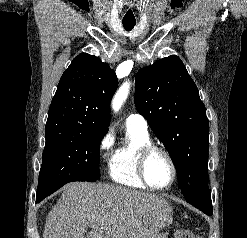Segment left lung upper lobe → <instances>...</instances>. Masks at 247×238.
<instances>
[{
	"instance_id": "5c2ea615",
	"label": "left lung upper lobe",
	"mask_w": 247,
	"mask_h": 238,
	"mask_svg": "<svg viewBox=\"0 0 247 238\" xmlns=\"http://www.w3.org/2000/svg\"><path fill=\"white\" fill-rule=\"evenodd\" d=\"M135 105L169 152L187 202L211 215L209 122L198 89L178 56L137 72Z\"/></svg>"
}]
</instances>
